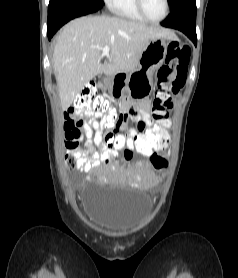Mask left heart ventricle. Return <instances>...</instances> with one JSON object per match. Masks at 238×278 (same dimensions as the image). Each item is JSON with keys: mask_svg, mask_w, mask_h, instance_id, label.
Listing matches in <instances>:
<instances>
[{"mask_svg": "<svg viewBox=\"0 0 238 278\" xmlns=\"http://www.w3.org/2000/svg\"><path fill=\"white\" fill-rule=\"evenodd\" d=\"M144 8L148 16L152 19H160L165 13L164 0H143Z\"/></svg>", "mask_w": 238, "mask_h": 278, "instance_id": "b2bd125f", "label": "left heart ventricle"}]
</instances>
